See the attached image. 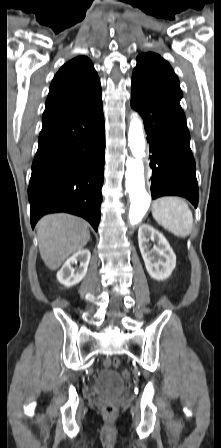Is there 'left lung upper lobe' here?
Listing matches in <instances>:
<instances>
[{
  "label": "left lung upper lobe",
  "instance_id": "left-lung-upper-lobe-1",
  "mask_svg": "<svg viewBox=\"0 0 221 448\" xmlns=\"http://www.w3.org/2000/svg\"><path fill=\"white\" fill-rule=\"evenodd\" d=\"M131 88L166 106L185 119V114L180 106L183 94L179 79L169 63L158 54L148 52L137 57Z\"/></svg>",
  "mask_w": 221,
  "mask_h": 448
}]
</instances>
